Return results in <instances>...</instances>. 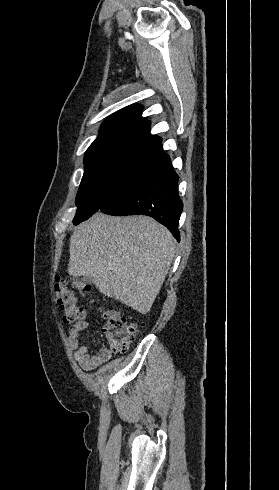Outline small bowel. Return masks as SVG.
Listing matches in <instances>:
<instances>
[{
  "label": "small bowel",
  "instance_id": "c3829d8e",
  "mask_svg": "<svg viewBox=\"0 0 279 490\" xmlns=\"http://www.w3.org/2000/svg\"><path fill=\"white\" fill-rule=\"evenodd\" d=\"M88 322L80 320L75 322L67 332V344L75 351L74 357L80 367L85 371H92L101 364L111 360L113 352L108 348H101L97 354H90L88 346L81 341V333L87 328Z\"/></svg>",
  "mask_w": 279,
  "mask_h": 490
}]
</instances>
